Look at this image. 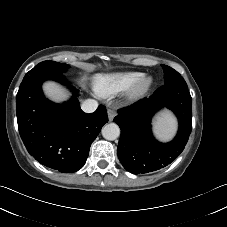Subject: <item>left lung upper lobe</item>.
Returning <instances> with one entry per match:
<instances>
[{
	"instance_id": "obj_1",
	"label": "left lung upper lobe",
	"mask_w": 227,
	"mask_h": 227,
	"mask_svg": "<svg viewBox=\"0 0 227 227\" xmlns=\"http://www.w3.org/2000/svg\"><path fill=\"white\" fill-rule=\"evenodd\" d=\"M164 70V84H186L183 77L173 68L163 65Z\"/></svg>"
}]
</instances>
